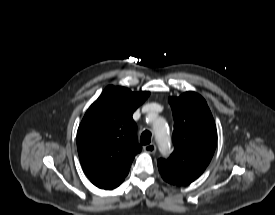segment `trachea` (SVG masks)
<instances>
[{
    "label": "trachea",
    "instance_id": "trachea-1",
    "mask_svg": "<svg viewBox=\"0 0 275 215\" xmlns=\"http://www.w3.org/2000/svg\"><path fill=\"white\" fill-rule=\"evenodd\" d=\"M150 142H151V133L149 131H144L141 134L140 143L142 145H148Z\"/></svg>",
    "mask_w": 275,
    "mask_h": 215
}]
</instances>
